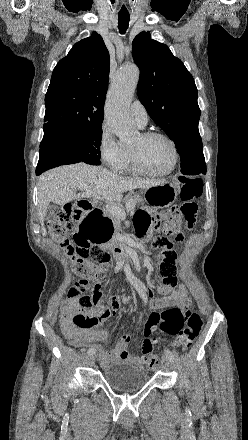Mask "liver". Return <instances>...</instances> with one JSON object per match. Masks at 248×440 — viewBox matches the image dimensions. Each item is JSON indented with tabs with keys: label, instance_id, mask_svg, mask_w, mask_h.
<instances>
[{
	"label": "liver",
	"instance_id": "obj_1",
	"mask_svg": "<svg viewBox=\"0 0 248 440\" xmlns=\"http://www.w3.org/2000/svg\"><path fill=\"white\" fill-rule=\"evenodd\" d=\"M164 181L145 180L123 177L102 167L91 166L85 163L64 165L51 169L38 180V218L41 223V232L47 234L44 219L50 202L64 205L74 199L101 196L106 201L119 202L123 193L137 188L147 189ZM88 186L87 190H82ZM83 193L76 195V191Z\"/></svg>",
	"mask_w": 248,
	"mask_h": 440
}]
</instances>
